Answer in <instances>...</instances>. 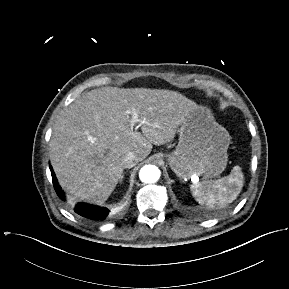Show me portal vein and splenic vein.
I'll return each mask as SVG.
<instances>
[{"instance_id": "obj_1", "label": "portal vein and splenic vein", "mask_w": 289, "mask_h": 289, "mask_svg": "<svg viewBox=\"0 0 289 289\" xmlns=\"http://www.w3.org/2000/svg\"><path fill=\"white\" fill-rule=\"evenodd\" d=\"M131 126H134L136 123L140 122L138 114L135 111H132Z\"/></svg>"}]
</instances>
